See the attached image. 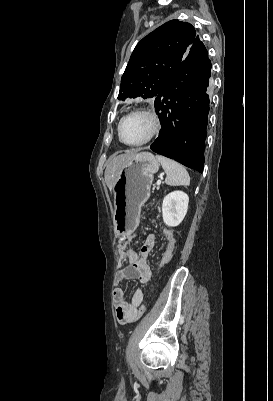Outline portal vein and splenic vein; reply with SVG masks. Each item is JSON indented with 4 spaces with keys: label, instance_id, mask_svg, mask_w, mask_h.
Wrapping results in <instances>:
<instances>
[{
    "label": "portal vein and splenic vein",
    "instance_id": "1",
    "mask_svg": "<svg viewBox=\"0 0 273 401\" xmlns=\"http://www.w3.org/2000/svg\"><path fill=\"white\" fill-rule=\"evenodd\" d=\"M162 174H164V172H162ZM161 180L162 178H159V180H157V184H161Z\"/></svg>",
    "mask_w": 273,
    "mask_h": 401
}]
</instances>
